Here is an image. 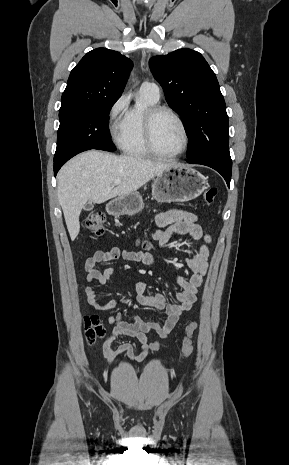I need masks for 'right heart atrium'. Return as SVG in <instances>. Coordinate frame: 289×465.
Masks as SVG:
<instances>
[{
  "label": "right heart atrium",
  "instance_id": "d8ad5b80",
  "mask_svg": "<svg viewBox=\"0 0 289 465\" xmlns=\"http://www.w3.org/2000/svg\"><path fill=\"white\" fill-rule=\"evenodd\" d=\"M128 106V97L120 96L111 106L109 110V131L112 136L119 138L124 124L123 113Z\"/></svg>",
  "mask_w": 289,
  "mask_h": 465
}]
</instances>
